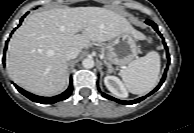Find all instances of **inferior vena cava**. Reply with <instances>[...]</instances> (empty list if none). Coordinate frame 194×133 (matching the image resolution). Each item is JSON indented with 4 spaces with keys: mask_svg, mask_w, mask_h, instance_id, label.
Here are the masks:
<instances>
[{
    "mask_svg": "<svg viewBox=\"0 0 194 133\" xmlns=\"http://www.w3.org/2000/svg\"><path fill=\"white\" fill-rule=\"evenodd\" d=\"M79 53H80V49H78L76 47H69L65 51V58H66V60L75 59Z\"/></svg>",
    "mask_w": 194,
    "mask_h": 133,
    "instance_id": "obj_1",
    "label": "inferior vena cava"
}]
</instances>
